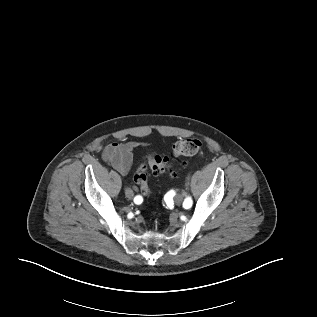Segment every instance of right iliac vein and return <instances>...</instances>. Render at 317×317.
<instances>
[{"label":"right iliac vein","mask_w":317,"mask_h":317,"mask_svg":"<svg viewBox=\"0 0 317 317\" xmlns=\"http://www.w3.org/2000/svg\"><path fill=\"white\" fill-rule=\"evenodd\" d=\"M129 189H126V191H125V194H126V196L129 198V199H131L132 198V195L129 197L128 195H127V191H128Z\"/></svg>","instance_id":"obj_1"}]
</instances>
